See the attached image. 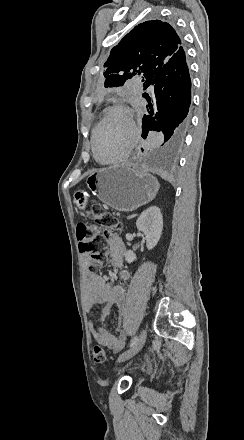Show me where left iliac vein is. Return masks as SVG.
<instances>
[{"mask_svg":"<svg viewBox=\"0 0 244 440\" xmlns=\"http://www.w3.org/2000/svg\"><path fill=\"white\" fill-rule=\"evenodd\" d=\"M147 333L145 330H142L137 342L128 350H126L124 353H122L118 357V361H126L130 358H132L134 355H136L144 346L145 340H146Z\"/></svg>","mask_w":244,"mask_h":440,"instance_id":"obj_1","label":"left iliac vein"}]
</instances>
